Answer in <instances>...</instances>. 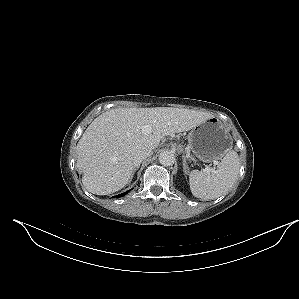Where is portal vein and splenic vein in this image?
<instances>
[{"label": "portal vein and splenic vein", "instance_id": "obj_1", "mask_svg": "<svg viewBox=\"0 0 299 299\" xmlns=\"http://www.w3.org/2000/svg\"><path fill=\"white\" fill-rule=\"evenodd\" d=\"M142 132L144 134H150L152 132V127L150 125H144V126H142ZM210 170H212V169L206 168L207 172L210 171Z\"/></svg>", "mask_w": 299, "mask_h": 299}]
</instances>
